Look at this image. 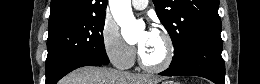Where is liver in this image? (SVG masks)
I'll return each mask as SVG.
<instances>
[{
	"mask_svg": "<svg viewBox=\"0 0 260 84\" xmlns=\"http://www.w3.org/2000/svg\"><path fill=\"white\" fill-rule=\"evenodd\" d=\"M158 80L148 75H137L110 68L82 67L65 78L61 84H157Z\"/></svg>",
	"mask_w": 260,
	"mask_h": 84,
	"instance_id": "1",
	"label": "liver"
}]
</instances>
